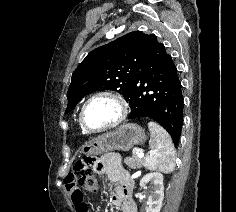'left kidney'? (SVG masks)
<instances>
[{"mask_svg":"<svg viewBox=\"0 0 236 212\" xmlns=\"http://www.w3.org/2000/svg\"><path fill=\"white\" fill-rule=\"evenodd\" d=\"M148 184L150 195L146 212H160L164 198L163 175L158 172L148 173L140 180V187L147 190Z\"/></svg>","mask_w":236,"mask_h":212,"instance_id":"5707ae66","label":"left kidney"}]
</instances>
